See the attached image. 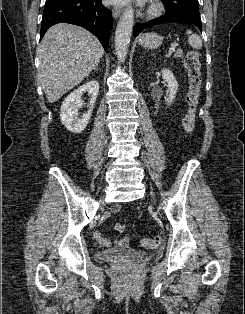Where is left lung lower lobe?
<instances>
[{
    "label": "left lung lower lobe",
    "instance_id": "left-lung-lower-lobe-1",
    "mask_svg": "<svg viewBox=\"0 0 245 314\" xmlns=\"http://www.w3.org/2000/svg\"><path fill=\"white\" fill-rule=\"evenodd\" d=\"M163 2V0H162ZM180 22H191L196 25L200 31H202L201 18L198 15H194L191 13H167L157 19L145 22L144 24L137 23L134 26L133 34L137 36L140 32H142L146 27L156 24L162 23H180Z\"/></svg>",
    "mask_w": 245,
    "mask_h": 314
}]
</instances>
